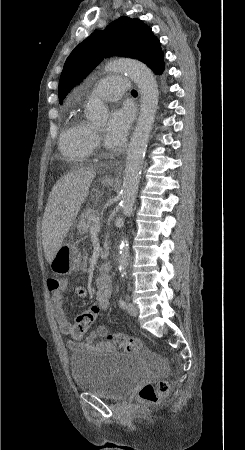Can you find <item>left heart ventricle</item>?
<instances>
[{
    "label": "left heart ventricle",
    "instance_id": "obj_1",
    "mask_svg": "<svg viewBox=\"0 0 245 450\" xmlns=\"http://www.w3.org/2000/svg\"><path fill=\"white\" fill-rule=\"evenodd\" d=\"M103 127H96L97 132H101Z\"/></svg>",
    "mask_w": 245,
    "mask_h": 450
}]
</instances>
